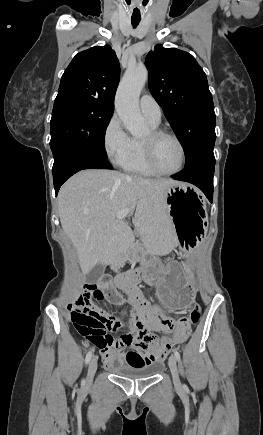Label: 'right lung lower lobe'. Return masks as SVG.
<instances>
[{"mask_svg": "<svg viewBox=\"0 0 263 435\" xmlns=\"http://www.w3.org/2000/svg\"><path fill=\"white\" fill-rule=\"evenodd\" d=\"M112 169L105 158L97 157L85 152H67L60 160L54 162L52 173L56 195L61 185L73 174L83 169Z\"/></svg>", "mask_w": 263, "mask_h": 435, "instance_id": "right-lung-lower-lobe-1", "label": "right lung lower lobe"}]
</instances>
